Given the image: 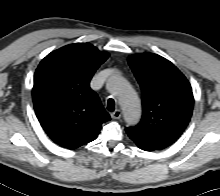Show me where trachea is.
<instances>
[{
	"label": "trachea",
	"instance_id": "3493384b",
	"mask_svg": "<svg viewBox=\"0 0 220 196\" xmlns=\"http://www.w3.org/2000/svg\"><path fill=\"white\" fill-rule=\"evenodd\" d=\"M107 109L109 111H114L115 110V102H114V100L112 98L108 99Z\"/></svg>",
	"mask_w": 220,
	"mask_h": 196
}]
</instances>
